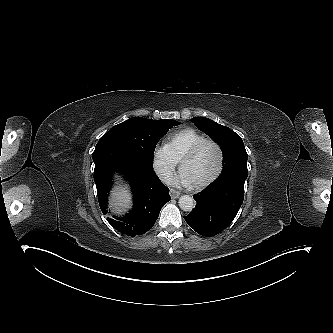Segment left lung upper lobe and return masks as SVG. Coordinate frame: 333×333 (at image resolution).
I'll return each instance as SVG.
<instances>
[{
  "label": "left lung upper lobe",
  "mask_w": 333,
  "mask_h": 333,
  "mask_svg": "<svg viewBox=\"0 0 333 333\" xmlns=\"http://www.w3.org/2000/svg\"><path fill=\"white\" fill-rule=\"evenodd\" d=\"M191 121L221 147L225 165L217 180L220 183L229 182L243 185L248 176V156L241 137L230 128L208 118L194 117Z\"/></svg>",
  "instance_id": "left-lung-upper-lobe-1"
}]
</instances>
